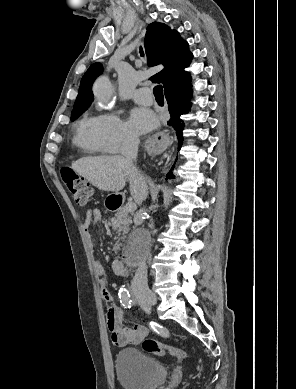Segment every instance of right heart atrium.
Segmentation results:
<instances>
[{"label": "right heart atrium", "mask_w": 296, "mask_h": 389, "mask_svg": "<svg viewBox=\"0 0 296 389\" xmlns=\"http://www.w3.org/2000/svg\"><path fill=\"white\" fill-rule=\"evenodd\" d=\"M98 123L101 141L107 152L117 153L136 144L137 136L117 113L99 115Z\"/></svg>", "instance_id": "obj_1"}]
</instances>
